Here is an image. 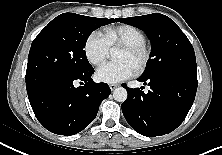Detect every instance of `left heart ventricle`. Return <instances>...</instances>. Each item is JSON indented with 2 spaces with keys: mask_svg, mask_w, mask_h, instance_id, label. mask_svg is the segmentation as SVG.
<instances>
[{
  "mask_svg": "<svg viewBox=\"0 0 222 155\" xmlns=\"http://www.w3.org/2000/svg\"><path fill=\"white\" fill-rule=\"evenodd\" d=\"M117 60L129 62L134 68H136V66L139 63L140 58L136 55H133V54L125 51L124 49H121L118 52Z\"/></svg>",
  "mask_w": 222,
  "mask_h": 155,
  "instance_id": "b2bd125f",
  "label": "left heart ventricle"
}]
</instances>
